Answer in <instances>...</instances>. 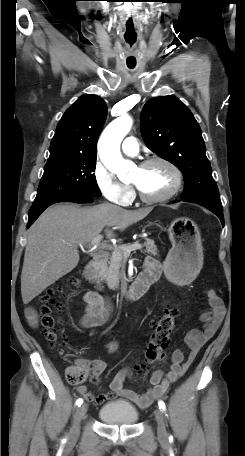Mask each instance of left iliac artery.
<instances>
[{
	"label": "left iliac artery",
	"instance_id": "obj_1",
	"mask_svg": "<svg viewBox=\"0 0 245 456\" xmlns=\"http://www.w3.org/2000/svg\"><path fill=\"white\" fill-rule=\"evenodd\" d=\"M158 406H159V409H161L162 411L166 410V405H165V403L162 400H160L158 402Z\"/></svg>",
	"mask_w": 245,
	"mask_h": 456
}]
</instances>
